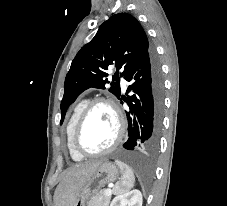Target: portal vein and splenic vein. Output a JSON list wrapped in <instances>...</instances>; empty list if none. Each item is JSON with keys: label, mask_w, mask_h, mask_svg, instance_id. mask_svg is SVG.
Instances as JSON below:
<instances>
[{"label": "portal vein and splenic vein", "mask_w": 227, "mask_h": 206, "mask_svg": "<svg viewBox=\"0 0 227 206\" xmlns=\"http://www.w3.org/2000/svg\"><path fill=\"white\" fill-rule=\"evenodd\" d=\"M105 194H106V195H111V194H112V190H111V189H106Z\"/></svg>", "instance_id": "portal-vein-and-splenic-vein-1"}]
</instances>
